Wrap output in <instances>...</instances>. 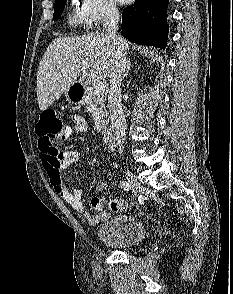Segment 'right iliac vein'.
I'll use <instances>...</instances> for the list:
<instances>
[{"mask_svg":"<svg viewBox=\"0 0 233 294\" xmlns=\"http://www.w3.org/2000/svg\"><path fill=\"white\" fill-rule=\"evenodd\" d=\"M125 175H126V178H127L128 182H129L130 188L135 193H140L141 190H142V186L137 181V179L135 178V176L133 175V173L130 170H126Z\"/></svg>","mask_w":233,"mask_h":294,"instance_id":"63e3f726","label":"right iliac vein"}]
</instances>
